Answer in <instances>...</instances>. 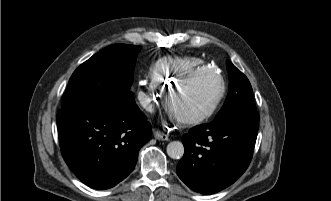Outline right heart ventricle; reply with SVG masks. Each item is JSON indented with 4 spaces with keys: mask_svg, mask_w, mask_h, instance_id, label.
<instances>
[{
    "mask_svg": "<svg viewBox=\"0 0 331 201\" xmlns=\"http://www.w3.org/2000/svg\"><path fill=\"white\" fill-rule=\"evenodd\" d=\"M205 67L203 61L197 57L174 58L166 57L158 60L151 69L152 80L169 87L185 74Z\"/></svg>",
    "mask_w": 331,
    "mask_h": 201,
    "instance_id": "1",
    "label": "right heart ventricle"
}]
</instances>
